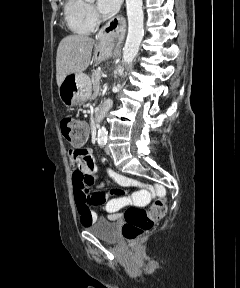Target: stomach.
Returning <instances> with one entry per match:
<instances>
[{
	"label": "stomach",
	"mask_w": 240,
	"mask_h": 288,
	"mask_svg": "<svg viewBox=\"0 0 240 288\" xmlns=\"http://www.w3.org/2000/svg\"><path fill=\"white\" fill-rule=\"evenodd\" d=\"M112 49L105 43L95 46L92 62L100 61L110 57ZM91 80L84 73L69 74L59 86L58 93L62 103L66 107H75L83 104L91 96Z\"/></svg>",
	"instance_id": "stomach-1"
}]
</instances>
